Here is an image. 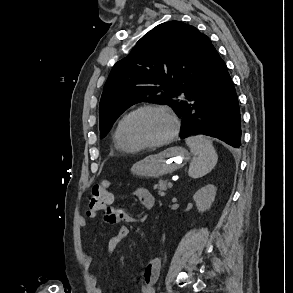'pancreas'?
Listing matches in <instances>:
<instances>
[{
  "label": "pancreas",
  "instance_id": "pancreas-1",
  "mask_svg": "<svg viewBox=\"0 0 293 293\" xmlns=\"http://www.w3.org/2000/svg\"><path fill=\"white\" fill-rule=\"evenodd\" d=\"M160 196H165L168 191V181L160 180L158 184L154 186Z\"/></svg>",
  "mask_w": 293,
  "mask_h": 293
}]
</instances>
